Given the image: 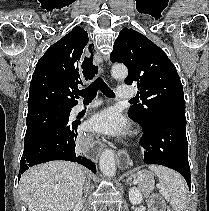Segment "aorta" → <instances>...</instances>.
I'll use <instances>...</instances> for the list:
<instances>
[{"label":"aorta","mask_w":209,"mask_h":211,"mask_svg":"<svg viewBox=\"0 0 209 211\" xmlns=\"http://www.w3.org/2000/svg\"><path fill=\"white\" fill-rule=\"evenodd\" d=\"M111 74L115 79H125L128 75V69L125 65L116 64L112 67ZM99 167L104 176L113 177L115 175V156L111 149H106L102 152L100 156Z\"/></svg>","instance_id":"1"}]
</instances>
